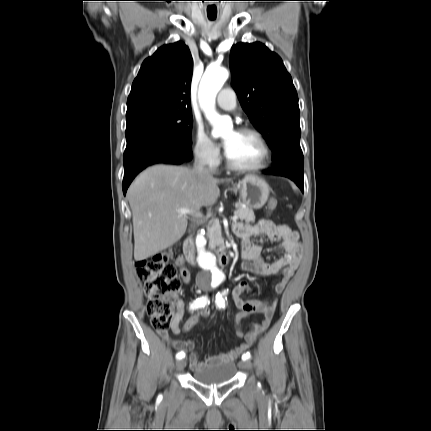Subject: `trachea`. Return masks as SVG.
<instances>
[{"label": "trachea", "instance_id": "3493384b", "mask_svg": "<svg viewBox=\"0 0 431 431\" xmlns=\"http://www.w3.org/2000/svg\"><path fill=\"white\" fill-rule=\"evenodd\" d=\"M209 19H210V20H214V19H215V17H209Z\"/></svg>", "mask_w": 431, "mask_h": 431}]
</instances>
